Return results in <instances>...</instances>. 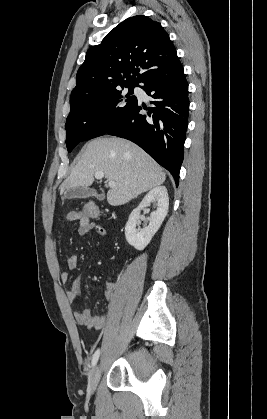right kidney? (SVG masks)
<instances>
[{
  "instance_id": "1",
  "label": "right kidney",
  "mask_w": 267,
  "mask_h": 419,
  "mask_svg": "<svg viewBox=\"0 0 267 419\" xmlns=\"http://www.w3.org/2000/svg\"><path fill=\"white\" fill-rule=\"evenodd\" d=\"M157 201V209L150 215L149 225L143 229L138 226L140 211L150 206L151 202ZM169 207V197L165 186H157L150 190L143 198L139 206L132 211L125 226L127 242L137 250H143L151 241L152 237L164 221Z\"/></svg>"
}]
</instances>
